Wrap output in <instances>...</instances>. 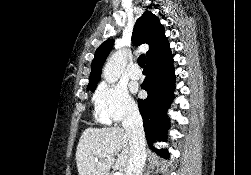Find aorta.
<instances>
[{"mask_svg":"<svg viewBox=\"0 0 251 175\" xmlns=\"http://www.w3.org/2000/svg\"><path fill=\"white\" fill-rule=\"evenodd\" d=\"M127 66V50H118L109 58L103 70V78L108 84L118 82L121 74H124Z\"/></svg>","mask_w":251,"mask_h":175,"instance_id":"obj_1","label":"aorta"}]
</instances>
